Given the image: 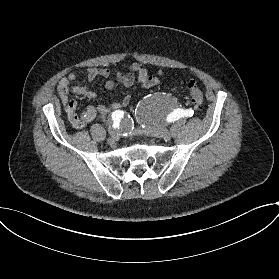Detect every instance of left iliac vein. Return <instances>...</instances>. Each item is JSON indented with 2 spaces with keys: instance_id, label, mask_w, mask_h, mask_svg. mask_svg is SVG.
<instances>
[{
  "instance_id": "4c4485c4",
  "label": "left iliac vein",
  "mask_w": 279,
  "mask_h": 279,
  "mask_svg": "<svg viewBox=\"0 0 279 279\" xmlns=\"http://www.w3.org/2000/svg\"><path fill=\"white\" fill-rule=\"evenodd\" d=\"M150 132L152 136L163 138L165 140H169L171 138V132L164 127L150 129Z\"/></svg>"
}]
</instances>
